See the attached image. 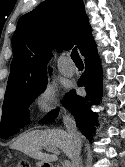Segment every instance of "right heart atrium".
Wrapping results in <instances>:
<instances>
[{"label": "right heart atrium", "mask_w": 125, "mask_h": 167, "mask_svg": "<svg viewBox=\"0 0 125 167\" xmlns=\"http://www.w3.org/2000/svg\"><path fill=\"white\" fill-rule=\"evenodd\" d=\"M33 107L40 116H48L62 110L59 95L52 83H46L35 95Z\"/></svg>", "instance_id": "1"}]
</instances>
